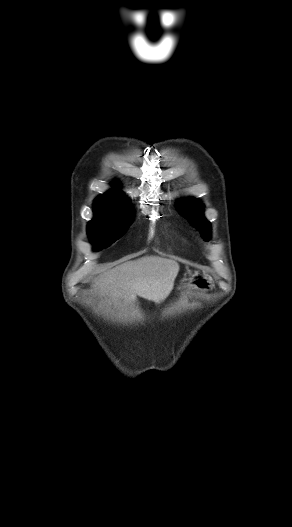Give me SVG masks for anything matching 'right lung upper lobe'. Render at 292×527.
<instances>
[{
  "label": "right lung upper lobe",
  "mask_w": 292,
  "mask_h": 527,
  "mask_svg": "<svg viewBox=\"0 0 292 527\" xmlns=\"http://www.w3.org/2000/svg\"><path fill=\"white\" fill-rule=\"evenodd\" d=\"M95 201L102 202V203H108V204H112V205H120V206L130 207V203L127 200L126 196L121 191H117V190H113L112 192L104 193V194L100 195L99 197H97V199Z\"/></svg>",
  "instance_id": "right-lung-upper-lobe-1"
}]
</instances>
